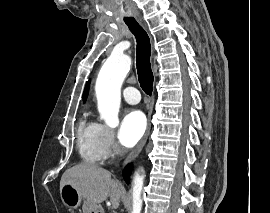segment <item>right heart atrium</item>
I'll list each match as a JSON object with an SVG mask.
<instances>
[{"label":"right heart atrium","instance_id":"right-heart-atrium-1","mask_svg":"<svg viewBox=\"0 0 270 213\" xmlns=\"http://www.w3.org/2000/svg\"><path fill=\"white\" fill-rule=\"evenodd\" d=\"M104 143L109 155L118 151V147L114 140V132L108 127H104Z\"/></svg>","mask_w":270,"mask_h":213}]
</instances>
